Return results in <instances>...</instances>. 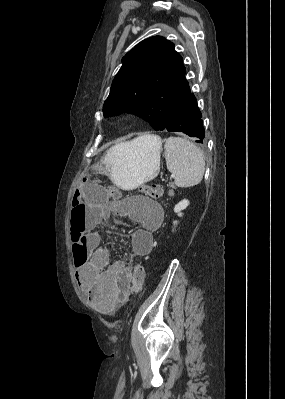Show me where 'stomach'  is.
<instances>
[{"mask_svg": "<svg viewBox=\"0 0 285 399\" xmlns=\"http://www.w3.org/2000/svg\"><path fill=\"white\" fill-rule=\"evenodd\" d=\"M161 147L157 136L138 137L110 148L93 169L123 189H134L159 174Z\"/></svg>", "mask_w": 285, "mask_h": 399, "instance_id": "1", "label": "stomach"}]
</instances>
